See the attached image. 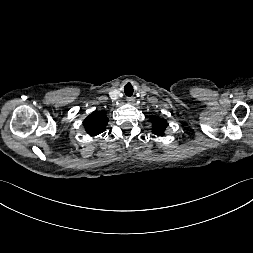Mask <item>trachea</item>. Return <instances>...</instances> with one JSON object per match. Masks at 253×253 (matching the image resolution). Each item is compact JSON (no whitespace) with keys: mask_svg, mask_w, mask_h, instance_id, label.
<instances>
[{"mask_svg":"<svg viewBox=\"0 0 253 253\" xmlns=\"http://www.w3.org/2000/svg\"><path fill=\"white\" fill-rule=\"evenodd\" d=\"M124 92L127 96H132L133 94V86L131 85V83H127L124 87Z\"/></svg>","mask_w":253,"mask_h":253,"instance_id":"3493384b","label":"trachea"}]
</instances>
